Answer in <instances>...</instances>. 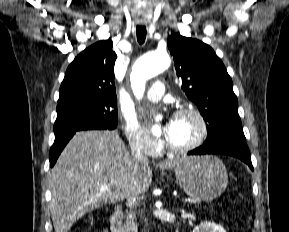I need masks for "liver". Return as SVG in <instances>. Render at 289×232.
Listing matches in <instances>:
<instances>
[{
  "label": "liver",
  "instance_id": "6515ba94",
  "mask_svg": "<svg viewBox=\"0 0 289 232\" xmlns=\"http://www.w3.org/2000/svg\"><path fill=\"white\" fill-rule=\"evenodd\" d=\"M179 162L167 160L156 168L171 169ZM151 182L148 162L134 160L118 133H76L50 174V212L55 232H68L80 217L103 205L145 193ZM101 185L110 190L101 191Z\"/></svg>",
  "mask_w": 289,
  "mask_h": 232
}]
</instances>
